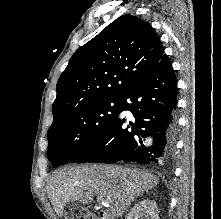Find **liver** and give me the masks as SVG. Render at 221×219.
I'll use <instances>...</instances> for the list:
<instances>
[{"label":"liver","instance_id":"liver-1","mask_svg":"<svg viewBox=\"0 0 221 219\" xmlns=\"http://www.w3.org/2000/svg\"><path fill=\"white\" fill-rule=\"evenodd\" d=\"M158 181L153 174L136 169L86 164L56 170L47 193L60 217L67 203L89 204L95 195L108 203L113 217H119L144 192L157 186Z\"/></svg>","mask_w":221,"mask_h":219}]
</instances>
